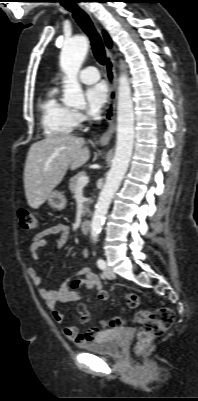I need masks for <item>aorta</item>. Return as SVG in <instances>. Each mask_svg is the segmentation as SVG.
<instances>
[{"label":"aorta","mask_w":198,"mask_h":401,"mask_svg":"<svg viewBox=\"0 0 198 401\" xmlns=\"http://www.w3.org/2000/svg\"><path fill=\"white\" fill-rule=\"evenodd\" d=\"M88 51L85 37H75L66 41L60 55V65L65 73L63 102L67 106L84 105V94L77 75ZM134 143V108L128 77L121 73L117 102V142L112 167L105 185L100 192L91 222L94 239L100 233L109 205L128 169Z\"/></svg>","instance_id":"aorta-1"}]
</instances>
